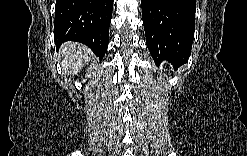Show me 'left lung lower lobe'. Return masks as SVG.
I'll return each instance as SVG.
<instances>
[{
    "mask_svg": "<svg viewBox=\"0 0 247 156\" xmlns=\"http://www.w3.org/2000/svg\"><path fill=\"white\" fill-rule=\"evenodd\" d=\"M146 44L156 63L188 61L195 30V0H141Z\"/></svg>",
    "mask_w": 247,
    "mask_h": 156,
    "instance_id": "1",
    "label": "left lung lower lobe"
}]
</instances>
